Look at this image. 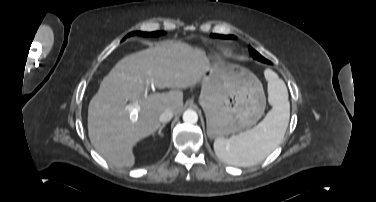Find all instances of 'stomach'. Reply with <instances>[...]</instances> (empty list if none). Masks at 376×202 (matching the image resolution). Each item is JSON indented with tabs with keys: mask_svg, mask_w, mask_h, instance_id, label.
<instances>
[{
	"mask_svg": "<svg viewBox=\"0 0 376 202\" xmlns=\"http://www.w3.org/2000/svg\"><path fill=\"white\" fill-rule=\"evenodd\" d=\"M211 138L242 131L264 112L266 98L258 78L249 70L224 61L210 62L202 76L199 97Z\"/></svg>",
	"mask_w": 376,
	"mask_h": 202,
	"instance_id": "1",
	"label": "stomach"
}]
</instances>
